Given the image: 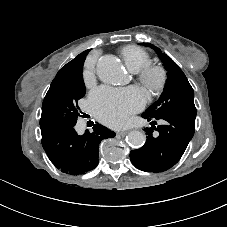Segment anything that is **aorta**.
<instances>
[{"instance_id": "aorta-1", "label": "aorta", "mask_w": 227, "mask_h": 227, "mask_svg": "<svg viewBox=\"0 0 227 227\" xmlns=\"http://www.w3.org/2000/svg\"><path fill=\"white\" fill-rule=\"evenodd\" d=\"M96 73L99 79L107 84H116L122 74V66L114 55H104L99 58L96 65ZM127 143L133 148H140L146 142V135L138 130H132L126 136Z\"/></svg>"}]
</instances>
